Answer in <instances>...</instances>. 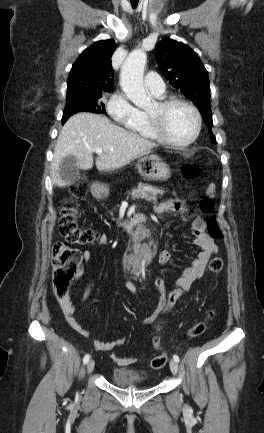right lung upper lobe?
<instances>
[{"label": "right lung upper lobe", "instance_id": "obj_1", "mask_svg": "<svg viewBox=\"0 0 264 433\" xmlns=\"http://www.w3.org/2000/svg\"><path fill=\"white\" fill-rule=\"evenodd\" d=\"M116 49L112 39L88 47L70 70L67 97L92 94L113 89L111 57Z\"/></svg>", "mask_w": 264, "mask_h": 433}]
</instances>
